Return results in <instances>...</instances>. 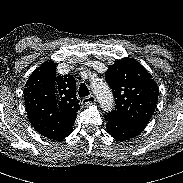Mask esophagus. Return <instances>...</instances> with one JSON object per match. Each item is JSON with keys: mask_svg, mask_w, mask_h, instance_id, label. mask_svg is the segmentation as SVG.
I'll return each mask as SVG.
<instances>
[{"mask_svg": "<svg viewBox=\"0 0 183 183\" xmlns=\"http://www.w3.org/2000/svg\"><path fill=\"white\" fill-rule=\"evenodd\" d=\"M96 102V98L93 95H90L88 97H85L82 99V104L84 105H90Z\"/></svg>", "mask_w": 183, "mask_h": 183, "instance_id": "1", "label": "esophagus"}]
</instances>
